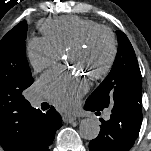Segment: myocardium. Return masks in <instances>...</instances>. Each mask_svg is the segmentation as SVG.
<instances>
[{
	"mask_svg": "<svg viewBox=\"0 0 151 151\" xmlns=\"http://www.w3.org/2000/svg\"><path fill=\"white\" fill-rule=\"evenodd\" d=\"M101 35L105 36L108 40L109 56L101 68L89 73L90 77L93 79H100L107 75L115 62L117 55V42L113 32L104 26L95 27L89 30L81 40H79L69 49L70 54L84 52L85 50L89 49L94 40Z\"/></svg>",
	"mask_w": 151,
	"mask_h": 151,
	"instance_id": "obj_1",
	"label": "myocardium"
}]
</instances>
